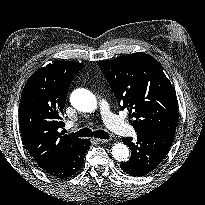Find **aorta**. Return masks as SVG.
Instances as JSON below:
<instances>
[{
    "instance_id": "1",
    "label": "aorta",
    "mask_w": 205,
    "mask_h": 205,
    "mask_svg": "<svg viewBox=\"0 0 205 205\" xmlns=\"http://www.w3.org/2000/svg\"><path fill=\"white\" fill-rule=\"evenodd\" d=\"M71 105L78 111L90 113L97 108V99L95 95L87 89L79 88L70 95ZM112 156L119 162L128 160L129 149L124 143H115L112 146Z\"/></svg>"
}]
</instances>
